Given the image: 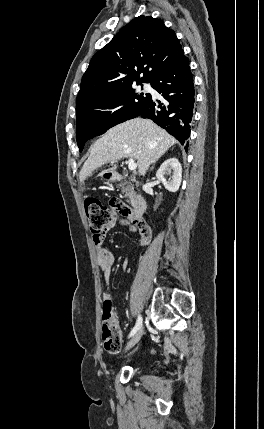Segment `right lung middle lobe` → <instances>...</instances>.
<instances>
[{
	"mask_svg": "<svg viewBox=\"0 0 264 429\" xmlns=\"http://www.w3.org/2000/svg\"><path fill=\"white\" fill-rule=\"evenodd\" d=\"M150 98V94L135 92L129 87L76 107V140L79 151L83 150L87 140L137 117ZM119 106L121 108L113 111Z\"/></svg>",
	"mask_w": 264,
	"mask_h": 429,
	"instance_id": "dd1d6c3e",
	"label": "right lung middle lobe"
}]
</instances>
